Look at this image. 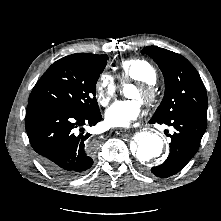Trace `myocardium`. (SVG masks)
Here are the masks:
<instances>
[{"instance_id":"1","label":"myocardium","mask_w":221,"mask_h":221,"mask_svg":"<svg viewBox=\"0 0 221 221\" xmlns=\"http://www.w3.org/2000/svg\"><path fill=\"white\" fill-rule=\"evenodd\" d=\"M136 88L138 89L140 99L144 104L151 105L156 101L157 90L154 85L138 81L136 82Z\"/></svg>"}]
</instances>
